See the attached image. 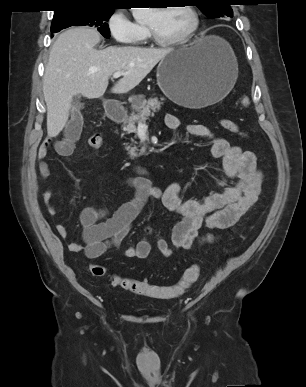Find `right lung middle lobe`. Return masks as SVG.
<instances>
[{
    "instance_id": "1",
    "label": "right lung middle lobe",
    "mask_w": 306,
    "mask_h": 387,
    "mask_svg": "<svg viewBox=\"0 0 306 387\" xmlns=\"http://www.w3.org/2000/svg\"><path fill=\"white\" fill-rule=\"evenodd\" d=\"M114 9L110 8H69L54 14L51 33L59 32L70 26H93L105 37H110V30L106 21L111 17Z\"/></svg>"
}]
</instances>
